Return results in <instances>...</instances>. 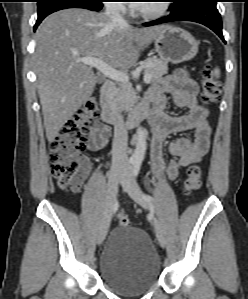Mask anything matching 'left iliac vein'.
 Returning a JSON list of instances; mask_svg holds the SVG:
<instances>
[{
  "mask_svg": "<svg viewBox=\"0 0 248 299\" xmlns=\"http://www.w3.org/2000/svg\"><path fill=\"white\" fill-rule=\"evenodd\" d=\"M131 167L129 165L125 166L124 173L121 176L120 183L125 189V191L129 194V196L138 203L144 209H148V203L144 199L142 191L140 187L136 184L133 178L130 175ZM153 225L155 227L157 239L162 247L165 246V237L163 234L162 227L159 221L156 218H153Z\"/></svg>",
  "mask_w": 248,
  "mask_h": 299,
  "instance_id": "1",
  "label": "left iliac vein"
}]
</instances>
